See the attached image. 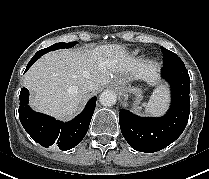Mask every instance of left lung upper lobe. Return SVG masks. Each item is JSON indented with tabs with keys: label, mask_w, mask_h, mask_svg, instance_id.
Returning <instances> with one entry per match:
<instances>
[{
	"label": "left lung upper lobe",
	"mask_w": 209,
	"mask_h": 179,
	"mask_svg": "<svg viewBox=\"0 0 209 179\" xmlns=\"http://www.w3.org/2000/svg\"><path fill=\"white\" fill-rule=\"evenodd\" d=\"M163 53V66L172 67L183 64L182 60L173 52L161 47Z\"/></svg>",
	"instance_id": "left-lung-upper-lobe-1"
}]
</instances>
